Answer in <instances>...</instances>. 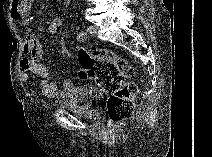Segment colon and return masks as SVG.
<instances>
[{"label":"colon","instance_id":"colon-1","mask_svg":"<svg viewBox=\"0 0 212 157\" xmlns=\"http://www.w3.org/2000/svg\"><path fill=\"white\" fill-rule=\"evenodd\" d=\"M81 79H93L109 93L107 111L114 127H120L133 113L138 86L131 78L134 69L124 58L103 48H79Z\"/></svg>","mask_w":212,"mask_h":157}]
</instances>
